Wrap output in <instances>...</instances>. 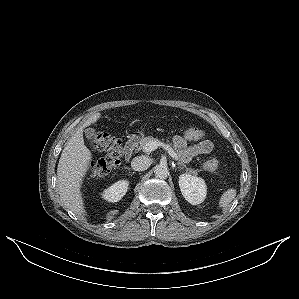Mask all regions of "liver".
Returning a JSON list of instances; mask_svg holds the SVG:
<instances>
[{"mask_svg":"<svg viewBox=\"0 0 299 299\" xmlns=\"http://www.w3.org/2000/svg\"><path fill=\"white\" fill-rule=\"evenodd\" d=\"M100 117V113L93 114L76 130L64 147L57 167L58 191L63 206L82 218L86 212L81 185L92 160V154L84 144L83 129Z\"/></svg>","mask_w":299,"mask_h":299,"instance_id":"obj_1","label":"liver"}]
</instances>
